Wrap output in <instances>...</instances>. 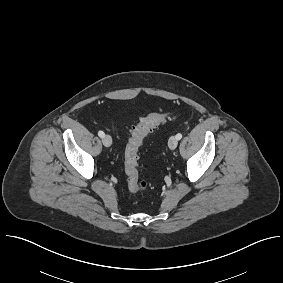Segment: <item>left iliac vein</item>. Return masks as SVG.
<instances>
[{"mask_svg": "<svg viewBox=\"0 0 283 283\" xmlns=\"http://www.w3.org/2000/svg\"><path fill=\"white\" fill-rule=\"evenodd\" d=\"M178 145V139L176 136H171L168 141V146L171 150H174Z\"/></svg>", "mask_w": 283, "mask_h": 283, "instance_id": "1", "label": "left iliac vein"}]
</instances>
